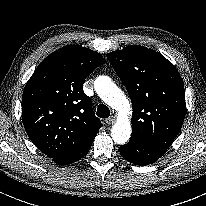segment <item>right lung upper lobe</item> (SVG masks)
<instances>
[{
    "label": "right lung upper lobe",
    "mask_w": 206,
    "mask_h": 206,
    "mask_svg": "<svg viewBox=\"0 0 206 206\" xmlns=\"http://www.w3.org/2000/svg\"><path fill=\"white\" fill-rule=\"evenodd\" d=\"M104 63L99 53L69 45L34 71L24 88L22 119L29 138L45 155L58 158L94 140L102 124L82 87Z\"/></svg>",
    "instance_id": "1"
}]
</instances>
